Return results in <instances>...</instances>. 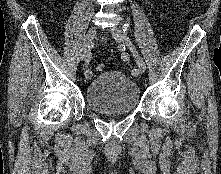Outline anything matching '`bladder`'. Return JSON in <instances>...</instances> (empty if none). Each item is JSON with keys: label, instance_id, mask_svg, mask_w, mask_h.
<instances>
[{"label": "bladder", "instance_id": "obj_1", "mask_svg": "<svg viewBox=\"0 0 221 174\" xmlns=\"http://www.w3.org/2000/svg\"><path fill=\"white\" fill-rule=\"evenodd\" d=\"M88 107L101 114H128L140 101V90L135 81L124 73L104 71L93 78L86 88Z\"/></svg>", "mask_w": 221, "mask_h": 174}]
</instances>
